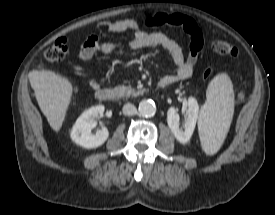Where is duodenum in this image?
<instances>
[{
	"mask_svg": "<svg viewBox=\"0 0 275 215\" xmlns=\"http://www.w3.org/2000/svg\"><path fill=\"white\" fill-rule=\"evenodd\" d=\"M171 83L170 81L166 79H161L159 81V87L160 88H165L169 86ZM117 93L114 91L112 88H100L99 90L96 91V97L99 101H112L116 98Z\"/></svg>",
	"mask_w": 275,
	"mask_h": 215,
	"instance_id": "410a0bca",
	"label": "duodenum"
}]
</instances>
